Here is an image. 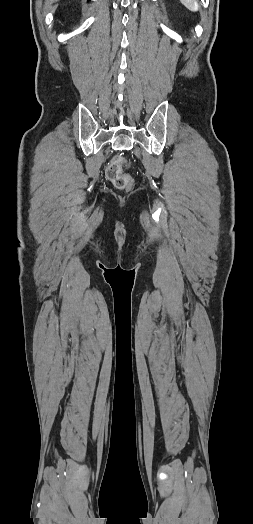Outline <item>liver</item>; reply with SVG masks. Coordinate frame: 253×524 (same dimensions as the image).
Listing matches in <instances>:
<instances>
[{
	"label": "liver",
	"instance_id": "liver-1",
	"mask_svg": "<svg viewBox=\"0 0 253 524\" xmlns=\"http://www.w3.org/2000/svg\"><path fill=\"white\" fill-rule=\"evenodd\" d=\"M50 1H51V2H56V1H58V0H50Z\"/></svg>",
	"mask_w": 253,
	"mask_h": 524
}]
</instances>
